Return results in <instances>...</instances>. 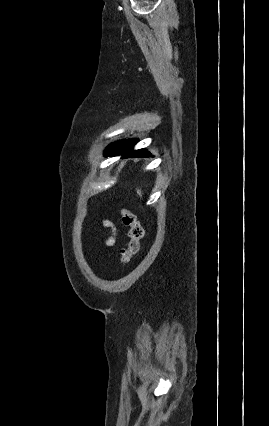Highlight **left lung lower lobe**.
Masks as SVG:
<instances>
[{
    "label": "left lung lower lobe",
    "mask_w": 269,
    "mask_h": 426,
    "mask_svg": "<svg viewBox=\"0 0 269 426\" xmlns=\"http://www.w3.org/2000/svg\"><path fill=\"white\" fill-rule=\"evenodd\" d=\"M137 140H121L109 145L105 150V156L123 155L122 158L148 157L150 152L146 149L132 150Z\"/></svg>",
    "instance_id": "obj_1"
}]
</instances>
